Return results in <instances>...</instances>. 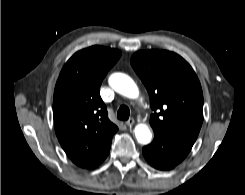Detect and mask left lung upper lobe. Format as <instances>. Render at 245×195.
Wrapping results in <instances>:
<instances>
[{
    "instance_id": "left-lung-upper-lobe-1",
    "label": "left lung upper lobe",
    "mask_w": 245,
    "mask_h": 195,
    "mask_svg": "<svg viewBox=\"0 0 245 195\" xmlns=\"http://www.w3.org/2000/svg\"><path fill=\"white\" fill-rule=\"evenodd\" d=\"M131 65L149 93L154 132L194 143L203 121V94L188 62L173 52L145 50L132 55Z\"/></svg>"
}]
</instances>
